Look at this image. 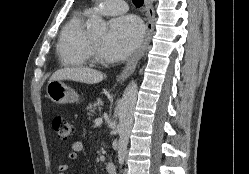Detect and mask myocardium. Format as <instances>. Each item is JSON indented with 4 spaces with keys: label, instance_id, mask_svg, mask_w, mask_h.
Listing matches in <instances>:
<instances>
[{
    "label": "myocardium",
    "instance_id": "1",
    "mask_svg": "<svg viewBox=\"0 0 249 174\" xmlns=\"http://www.w3.org/2000/svg\"><path fill=\"white\" fill-rule=\"evenodd\" d=\"M89 51H90V55L92 56L93 60L97 63H101L104 64V60L100 57L96 45L94 44L93 40L90 38L89 41Z\"/></svg>",
    "mask_w": 249,
    "mask_h": 174
}]
</instances>
